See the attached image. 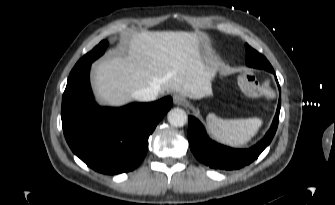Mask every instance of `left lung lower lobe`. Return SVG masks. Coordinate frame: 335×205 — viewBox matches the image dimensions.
I'll return each mask as SVG.
<instances>
[{
  "label": "left lung lower lobe",
  "mask_w": 335,
  "mask_h": 205,
  "mask_svg": "<svg viewBox=\"0 0 335 205\" xmlns=\"http://www.w3.org/2000/svg\"><path fill=\"white\" fill-rule=\"evenodd\" d=\"M271 72L274 73V71ZM279 92L281 93L280 87ZM280 107L281 95L270 130L264 139L249 149H234L212 141L207 136L201 122L195 117L189 116L188 140L190 149L200 162L210 168L220 170L240 169L257 159L272 141L279 123Z\"/></svg>",
  "instance_id": "0a47b994"
}]
</instances>
